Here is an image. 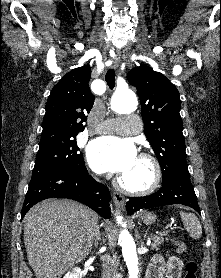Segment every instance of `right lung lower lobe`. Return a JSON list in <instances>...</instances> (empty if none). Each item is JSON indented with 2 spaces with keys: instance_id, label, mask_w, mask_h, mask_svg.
<instances>
[{
  "instance_id": "right-lung-lower-lobe-1",
  "label": "right lung lower lobe",
  "mask_w": 221,
  "mask_h": 278,
  "mask_svg": "<svg viewBox=\"0 0 221 278\" xmlns=\"http://www.w3.org/2000/svg\"><path fill=\"white\" fill-rule=\"evenodd\" d=\"M52 197L73 199L89 206L106 219L111 216L110 193L107 187L88 176L86 167L79 172H54L30 182L21 218L33 205Z\"/></svg>"
}]
</instances>
